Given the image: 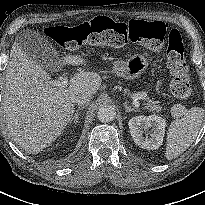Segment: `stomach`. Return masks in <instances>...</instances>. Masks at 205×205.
<instances>
[{"instance_id":"0dacf381","label":"stomach","mask_w":205,"mask_h":205,"mask_svg":"<svg viewBox=\"0 0 205 205\" xmlns=\"http://www.w3.org/2000/svg\"><path fill=\"white\" fill-rule=\"evenodd\" d=\"M149 66L147 57L143 54L136 53L132 55L127 61L117 62L114 65V72L126 79H134L139 77L146 71Z\"/></svg>"}]
</instances>
